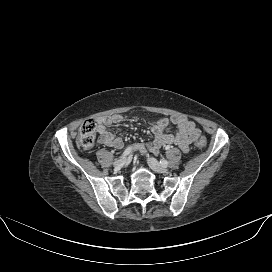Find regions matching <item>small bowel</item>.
Segmentation results:
<instances>
[{"instance_id":"obj_1","label":"small bowel","mask_w":272,"mask_h":272,"mask_svg":"<svg viewBox=\"0 0 272 272\" xmlns=\"http://www.w3.org/2000/svg\"><path fill=\"white\" fill-rule=\"evenodd\" d=\"M123 116L120 114H112L97 119L99 138L98 142L109 147L121 149L124 142L120 137L108 130V127L120 123ZM169 123L176 126L174 133L166 131ZM153 140L147 144L138 143L134 145V149L139 150L143 155H147L148 151L158 154L163 146L176 145L183 152L189 151V145L196 141L200 135V130L195 123L184 116L174 115L170 119L160 118L152 126Z\"/></svg>"}]
</instances>
